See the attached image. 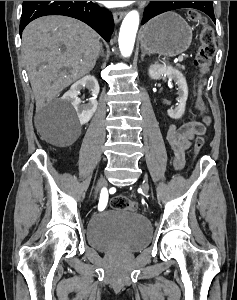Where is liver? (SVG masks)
Masks as SVG:
<instances>
[{
  "label": "liver",
  "mask_w": 237,
  "mask_h": 300,
  "mask_svg": "<svg viewBox=\"0 0 237 300\" xmlns=\"http://www.w3.org/2000/svg\"><path fill=\"white\" fill-rule=\"evenodd\" d=\"M99 35L77 19L40 17L22 35V57L36 101L44 103L88 75L100 53ZM67 69V71H62Z\"/></svg>",
  "instance_id": "1"
}]
</instances>
